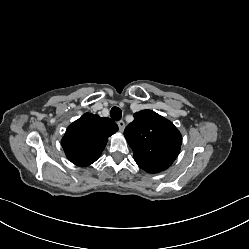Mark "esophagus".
<instances>
[{"mask_svg": "<svg viewBox=\"0 0 249 249\" xmlns=\"http://www.w3.org/2000/svg\"><path fill=\"white\" fill-rule=\"evenodd\" d=\"M117 125H118V127H119V130H120L121 132H123L124 129H125V123H124V121H122V120L118 121V122H117Z\"/></svg>", "mask_w": 249, "mask_h": 249, "instance_id": "34e87169", "label": "esophagus"}]
</instances>
